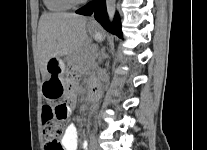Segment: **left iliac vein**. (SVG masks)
<instances>
[{"label":"left iliac vein","mask_w":207,"mask_h":150,"mask_svg":"<svg viewBox=\"0 0 207 150\" xmlns=\"http://www.w3.org/2000/svg\"><path fill=\"white\" fill-rule=\"evenodd\" d=\"M89 150H100V148L96 145L95 141H92L90 143Z\"/></svg>","instance_id":"left-iliac-vein-1"}]
</instances>
